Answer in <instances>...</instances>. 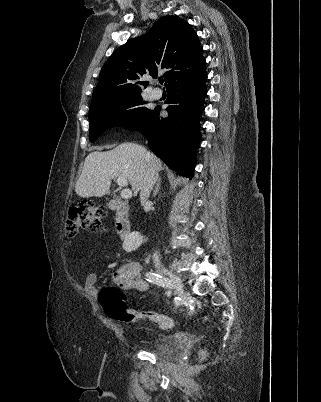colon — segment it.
<instances>
[{
    "mask_svg": "<svg viewBox=\"0 0 321 402\" xmlns=\"http://www.w3.org/2000/svg\"><path fill=\"white\" fill-rule=\"evenodd\" d=\"M106 211L95 206L91 202H80L74 204L68 212L65 224V232L69 238H75L81 230L96 232L101 226V221ZM99 303L104 313L111 319L118 321H129L133 315L129 308L126 294L117 287L107 286L100 292ZM141 317L149 319L163 329H171L175 321L162 314L142 313ZM205 356V352L201 353Z\"/></svg>",
    "mask_w": 321,
    "mask_h": 402,
    "instance_id": "colon-1",
    "label": "colon"
}]
</instances>
